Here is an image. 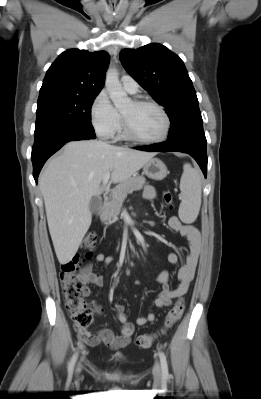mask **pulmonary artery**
I'll return each instance as SVG.
<instances>
[{
    "label": "pulmonary artery",
    "mask_w": 261,
    "mask_h": 399,
    "mask_svg": "<svg viewBox=\"0 0 261 399\" xmlns=\"http://www.w3.org/2000/svg\"><path fill=\"white\" fill-rule=\"evenodd\" d=\"M121 83L123 88L129 92V93H135L138 89V83L136 82V80L129 76V75H123L121 77Z\"/></svg>",
    "instance_id": "1"
}]
</instances>
